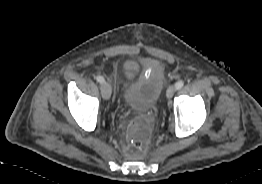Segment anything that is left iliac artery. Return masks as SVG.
<instances>
[{
  "label": "left iliac artery",
  "instance_id": "44dca946",
  "mask_svg": "<svg viewBox=\"0 0 262 184\" xmlns=\"http://www.w3.org/2000/svg\"><path fill=\"white\" fill-rule=\"evenodd\" d=\"M175 86H176V89H181L184 86V82L180 80L175 84Z\"/></svg>",
  "mask_w": 262,
  "mask_h": 184
}]
</instances>
